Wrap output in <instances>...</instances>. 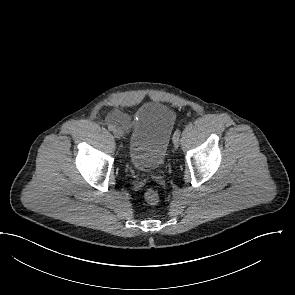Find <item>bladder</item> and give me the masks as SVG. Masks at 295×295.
<instances>
[{"label":"bladder","mask_w":295,"mask_h":295,"mask_svg":"<svg viewBox=\"0 0 295 295\" xmlns=\"http://www.w3.org/2000/svg\"><path fill=\"white\" fill-rule=\"evenodd\" d=\"M174 123V111L162 102L151 101L137 110L129 135V156L137 169L152 172L161 167Z\"/></svg>","instance_id":"bladder-1"}]
</instances>
